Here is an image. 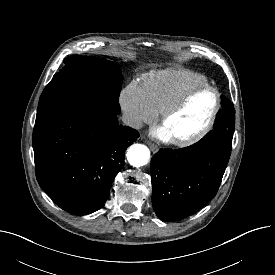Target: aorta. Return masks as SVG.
Here are the masks:
<instances>
[{"label":"aorta","mask_w":275,"mask_h":275,"mask_svg":"<svg viewBox=\"0 0 275 275\" xmlns=\"http://www.w3.org/2000/svg\"><path fill=\"white\" fill-rule=\"evenodd\" d=\"M127 160L134 167L146 165L150 160V150L142 144H133L127 151Z\"/></svg>","instance_id":"obj_1"}]
</instances>
